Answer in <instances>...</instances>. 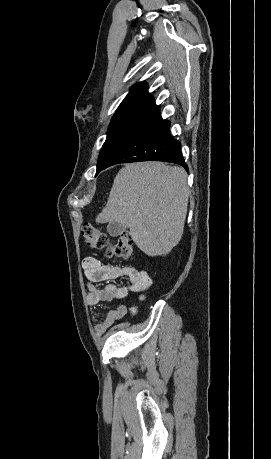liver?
Listing matches in <instances>:
<instances>
[{
    "label": "liver",
    "instance_id": "liver-1",
    "mask_svg": "<svg viewBox=\"0 0 271 459\" xmlns=\"http://www.w3.org/2000/svg\"><path fill=\"white\" fill-rule=\"evenodd\" d=\"M188 198L183 168L163 162L126 164L118 172L96 222L124 224L144 253L167 255L181 239Z\"/></svg>",
    "mask_w": 271,
    "mask_h": 459
}]
</instances>
